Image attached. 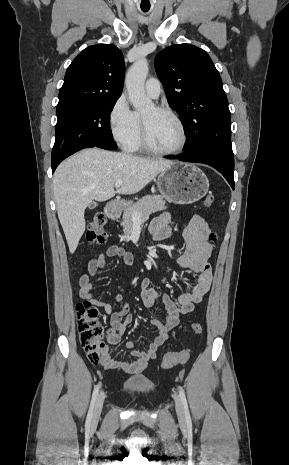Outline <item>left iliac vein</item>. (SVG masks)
Wrapping results in <instances>:
<instances>
[{
	"label": "left iliac vein",
	"instance_id": "obj_1",
	"mask_svg": "<svg viewBox=\"0 0 289 465\" xmlns=\"http://www.w3.org/2000/svg\"><path fill=\"white\" fill-rule=\"evenodd\" d=\"M174 400H175V409H176L178 419L180 422L184 423L186 419H185V412H184L181 398L178 395H175Z\"/></svg>",
	"mask_w": 289,
	"mask_h": 465
}]
</instances>
